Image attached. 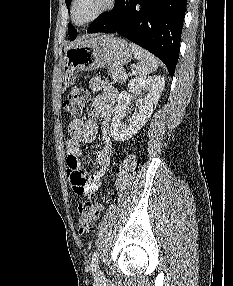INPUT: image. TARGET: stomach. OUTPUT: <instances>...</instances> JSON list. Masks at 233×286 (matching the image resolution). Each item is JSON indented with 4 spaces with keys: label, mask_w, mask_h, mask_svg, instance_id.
Segmentation results:
<instances>
[{
    "label": "stomach",
    "mask_w": 233,
    "mask_h": 286,
    "mask_svg": "<svg viewBox=\"0 0 233 286\" xmlns=\"http://www.w3.org/2000/svg\"><path fill=\"white\" fill-rule=\"evenodd\" d=\"M132 54L128 43L113 35H103L71 47L62 62L64 87L74 85L81 71L120 67L132 59Z\"/></svg>",
    "instance_id": "stomach-1"
}]
</instances>
